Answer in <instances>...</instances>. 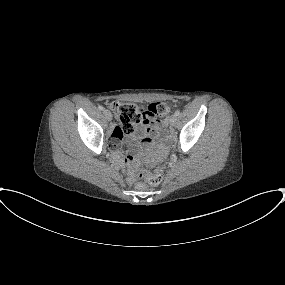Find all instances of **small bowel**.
<instances>
[{"mask_svg":"<svg viewBox=\"0 0 285 285\" xmlns=\"http://www.w3.org/2000/svg\"><path fill=\"white\" fill-rule=\"evenodd\" d=\"M155 126L156 122L154 119L148 120L143 124L137 126L135 129V133L132 135L133 140L138 141L149 135L153 131ZM123 136L124 133L120 131L118 127H115L111 133V137L109 140V147L113 150V158L122 167H124V164L120 155V150L122 147ZM127 181L129 183H132L134 181V177L131 173H128Z\"/></svg>","mask_w":285,"mask_h":285,"instance_id":"1","label":"small bowel"}]
</instances>
